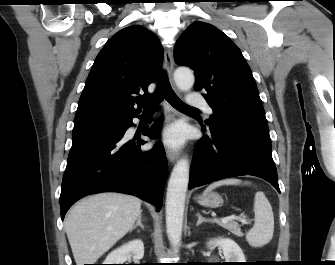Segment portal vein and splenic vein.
I'll list each match as a JSON object with an SVG mask.
<instances>
[{
  "label": "portal vein and splenic vein",
  "mask_w": 335,
  "mask_h": 265,
  "mask_svg": "<svg viewBox=\"0 0 335 265\" xmlns=\"http://www.w3.org/2000/svg\"><path fill=\"white\" fill-rule=\"evenodd\" d=\"M231 220H238L240 221L242 224H248L247 220L245 218H241V217H237V216H229V217H224V218H221L220 221L222 223H227Z\"/></svg>",
  "instance_id": "portal-vein-and-splenic-vein-1"
}]
</instances>
